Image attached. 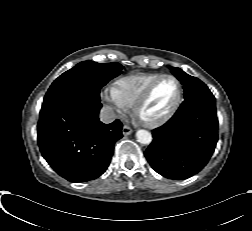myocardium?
I'll return each mask as SVG.
<instances>
[{
	"label": "myocardium",
	"instance_id": "obj_1",
	"mask_svg": "<svg viewBox=\"0 0 252 231\" xmlns=\"http://www.w3.org/2000/svg\"><path fill=\"white\" fill-rule=\"evenodd\" d=\"M165 78H171L177 84V96H176L173 104L171 105V107L169 108V110L164 115H162L161 117H159L157 119H154V120L143 119L140 116V111H141L142 107L149 100V98H150L153 90L157 86V84L161 80H163ZM182 96H183V86H182V83L180 82V80L176 76H174V75H171V74H162L158 78H156L152 83L149 84V86L144 90V92L142 93V95L135 102V104L133 105V114H134L135 118L143 126L148 127V128L159 127V126L165 124L167 121H169L173 117V115L176 113V111L178 110V108H179V106L181 104Z\"/></svg>",
	"mask_w": 252,
	"mask_h": 231
}]
</instances>
